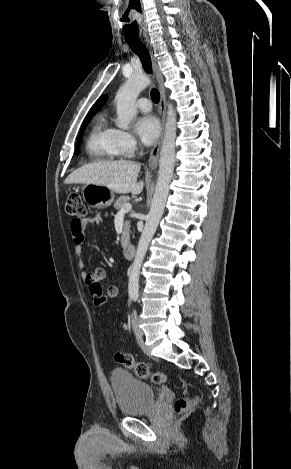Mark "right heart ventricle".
I'll return each mask as SVG.
<instances>
[{"label": "right heart ventricle", "instance_id": "right-heart-ventricle-1", "mask_svg": "<svg viewBox=\"0 0 291 469\" xmlns=\"http://www.w3.org/2000/svg\"><path fill=\"white\" fill-rule=\"evenodd\" d=\"M86 152L95 160H113L120 155L113 128L105 113L96 116L86 140Z\"/></svg>", "mask_w": 291, "mask_h": 469}]
</instances>
